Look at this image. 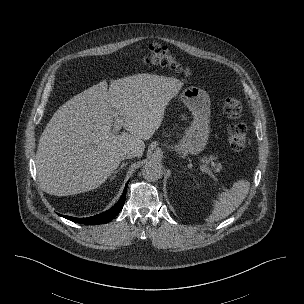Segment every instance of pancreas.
Segmentation results:
<instances>
[{"instance_id": "1", "label": "pancreas", "mask_w": 304, "mask_h": 304, "mask_svg": "<svg viewBox=\"0 0 304 304\" xmlns=\"http://www.w3.org/2000/svg\"><path fill=\"white\" fill-rule=\"evenodd\" d=\"M212 159H213V158L211 157V158L208 160V162H209V161H212Z\"/></svg>"}]
</instances>
